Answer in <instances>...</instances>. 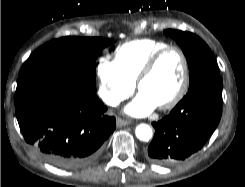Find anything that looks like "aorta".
<instances>
[{"instance_id": "obj_1", "label": "aorta", "mask_w": 245, "mask_h": 187, "mask_svg": "<svg viewBox=\"0 0 245 187\" xmlns=\"http://www.w3.org/2000/svg\"><path fill=\"white\" fill-rule=\"evenodd\" d=\"M137 138L141 141H149L153 135L152 129L147 124H140L135 129Z\"/></svg>"}]
</instances>
